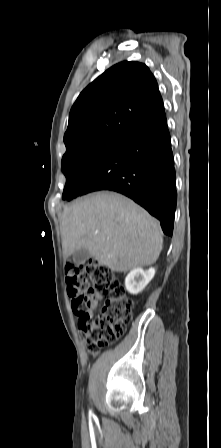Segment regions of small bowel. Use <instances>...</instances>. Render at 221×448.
I'll return each mask as SVG.
<instances>
[{"label":"small bowel","instance_id":"1","mask_svg":"<svg viewBox=\"0 0 221 448\" xmlns=\"http://www.w3.org/2000/svg\"><path fill=\"white\" fill-rule=\"evenodd\" d=\"M97 308V302H95L92 306V312Z\"/></svg>","mask_w":221,"mask_h":448}]
</instances>
